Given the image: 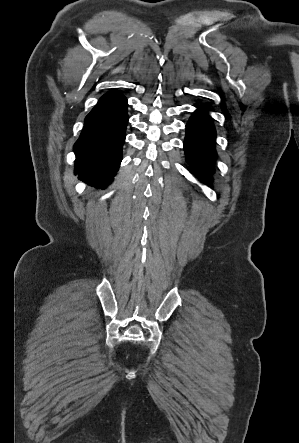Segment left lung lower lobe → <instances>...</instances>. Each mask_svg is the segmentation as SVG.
Wrapping results in <instances>:
<instances>
[{
    "instance_id": "1",
    "label": "left lung lower lobe",
    "mask_w": 299,
    "mask_h": 443,
    "mask_svg": "<svg viewBox=\"0 0 299 443\" xmlns=\"http://www.w3.org/2000/svg\"><path fill=\"white\" fill-rule=\"evenodd\" d=\"M215 128L205 110H197L186 125L184 150L187 162L204 183L210 181L216 158Z\"/></svg>"
}]
</instances>
